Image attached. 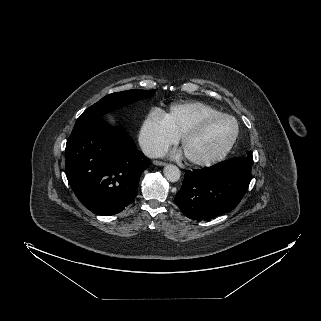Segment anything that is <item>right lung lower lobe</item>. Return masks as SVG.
Segmentation results:
<instances>
[{
  "instance_id": "98d812e1",
  "label": "right lung lower lobe",
  "mask_w": 321,
  "mask_h": 321,
  "mask_svg": "<svg viewBox=\"0 0 321 321\" xmlns=\"http://www.w3.org/2000/svg\"><path fill=\"white\" fill-rule=\"evenodd\" d=\"M66 176L79 201L97 215H114L137 194L149 166L134 140L101 117L77 121L67 141Z\"/></svg>"
}]
</instances>
